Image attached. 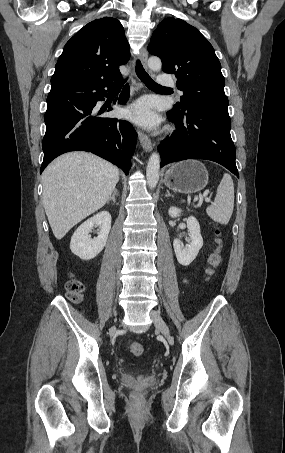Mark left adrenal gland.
<instances>
[{
    "label": "left adrenal gland",
    "instance_id": "left-adrenal-gland-1",
    "mask_svg": "<svg viewBox=\"0 0 285 453\" xmlns=\"http://www.w3.org/2000/svg\"><path fill=\"white\" fill-rule=\"evenodd\" d=\"M165 197H174L172 194H170L169 190H167V194L165 195Z\"/></svg>",
    "mask_w": 285,
    "mask_h": 453
}]
</instances>
